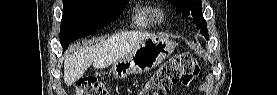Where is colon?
I'll return each mask as SVG.
<instances>
[{"label": "colon", "instance_id": "5ec220e1", "mask_svg": "<svg viewBox=\"0 0 277 95\" xmlns=\"http://www.w3.org/2000/svg\"><path fill=\"white\" fill-rule=\"evenodd\" d=\"M197 59L190 53H180L168 59L144 84L139 95H165L174 85L199 75ZM76 95L109 94V87L95 77L80 79L74 86Z\"/></svg>", "mask_w": 277, "mask_h": 95}]
</instances>
